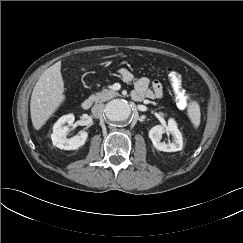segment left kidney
<instances>
[{"instance_id":"left-kidney-1","label":"left kidney","mask_w":243,"mask_h":243,"mask_svg":"<svg viewBox=\"0 0 243 243\" xmlns=\"http://www.w3.org/2000/svg\"><path fill=\"white\" fill-rule=\"evenodd\" d=\"M163 133L171 134L173 142H161ZM149 138L151 139L154 147L160 151L176 152L182 150L183 147L182 134L177 128L175 120L172 118L168 120L167 126L156 125L152 127L149 131Z\"/></svg>"}]
</instances>
